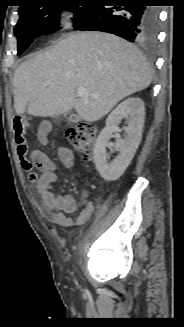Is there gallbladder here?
I'll use <instances>...</instances> for the list:
<instances>
[{
	"label": "gallbladder",
	"instance_id": "bac80fb5",
	"mask_svg": "<svg viewBox=\"0 0 184 327\" xmlns=\"http://www.w3.org/2000/svg\"><path fill=\"white\" fill-rule=\"evenodd\" d=\"M79 119H80V117H79L77 114H75V113H71V114H69V116H68V121H69V122H73V123H75V122H78Z\"/></svg>",
	"mask_w": 184,
	"mask_h": 327
}]
</instances>
